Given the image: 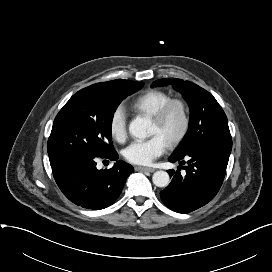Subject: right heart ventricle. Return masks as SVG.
<instances>
[{"label": "right heart ventricle", "mask_w": 272, "mask_h": 272, "mask_svg": "<svg viewBox=\"0 0 272 272\" xmlns=\"http://www.w3.org/2000/svg\"><path fill=\"white\" fill-rule=\"evenodd\" d=\"M171 96L162 90L149 89L136 96L130 103V108L141 115L152 116L155 111Z\"/></svg>", "instance_id": "e07e8e85"}]
</instances>
